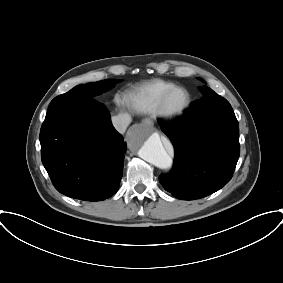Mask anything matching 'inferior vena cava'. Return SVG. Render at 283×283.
Masks as SVG:
<instances>
[{
	"mask_svg": "<svg viewBox=\"0 0 283 283\" xmlns=\"http://www.w3.org/2000/svg\"><path fill=\"white\" fill-rule=\"evenodd\" d=\"M130 122H131V116L127 113L119 114L117 116L112 117L113 126L121 134H124Z\"/></svg>",
	"mask_w": 283,
	"mask_h": 283,
	"instance_id": "1",
	"label": "inferior vena cava"
}]
</instances>
